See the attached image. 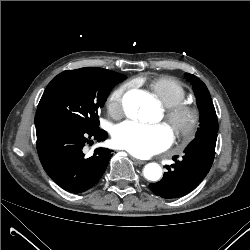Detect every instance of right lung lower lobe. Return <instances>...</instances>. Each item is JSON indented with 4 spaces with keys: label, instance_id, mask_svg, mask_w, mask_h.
<instances>
[{
    "label": "right lung lower lobe",
    "instance_id": "obj_1",
    "mask_svg": "<svg viewBox=\"0 0 250 250\" xmlns=\"http://www.w3.org/2000/svg\"><path fill=\"white\" fill-rule=\"evenodd\" d=\"M37 151L47 174L63 189L81 193L95 185L102 177L112 150L97 148L86 158L83 148L92 140L107 138L102 129L66 123L40 121L36 123Z\"/></svg>",
    "mask_w": 250,
    "mask_h": 250
}]
</instances>
